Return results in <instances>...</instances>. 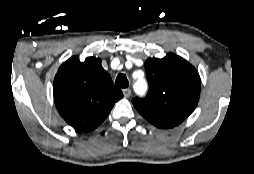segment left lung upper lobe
Listing matches in <instances>:
<instances>
[{
	"mask_svg": "<svg viewBox=\"0 0 254 174\" xmlns=\"http://www.w3.org/2000/svg\"><path fill=\"white\" fill-rule=\"evenodd\" d=\"M149 92L132 103L144 118L181 123L195 109L201 80L197 70L173 53L145 62Z\"/></svg>",
	"mask_w": 254,
	"mask_h": 174,
	"instance_id": "obj_1",
	"label": "left lung upper lobe"
}]
</instances>
